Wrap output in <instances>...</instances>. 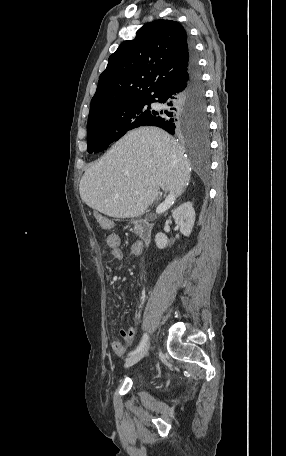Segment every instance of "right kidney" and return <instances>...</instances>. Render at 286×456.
Masks as SVG:
<instances>
[{"label": "right kidney", "instance_id": "ca27d5eb", "mask_svg": "<svg viewBox=\"0 0 286 456\" xmlns=\"http://www.w3.org/2000/svg\"><path fill=\"white\" fill-rule=\"evenodd\" d=\"M172 217L174 218L175 223L180 227V232L188 237L192 232L195 222V210L192 203L185 202L181 204L174 209ZM155 243L159 249H163L168 245L169 241L167 236L160 232L155 236Z\"/></svg>", "mask_w": 286, "mask_h": 456}]
</instances>
